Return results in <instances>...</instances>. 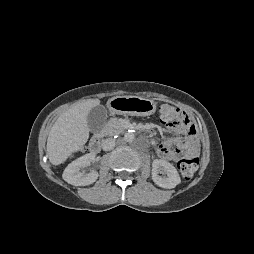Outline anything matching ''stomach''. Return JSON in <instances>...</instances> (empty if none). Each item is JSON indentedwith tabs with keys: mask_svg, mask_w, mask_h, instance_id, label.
I'll use <instances>...</instances> for the list:
<instances>
[{
	"mask_svg": "<svg viewBox=\"0 0 254 254\" xmlns=\"http://www.w3.org/2000/svg\"><path fill=\"white\" fill-rule=\"evenodd\" d=\"M111 114L148 116L155 113L157 104L154 100L136 96H116L107 102Z\"/></svg>",
	"mask_w": 254,
	"mask_h": 254,
	"instance_id": "0dacf381",
	"label": "stomach"
}]
</instances>
